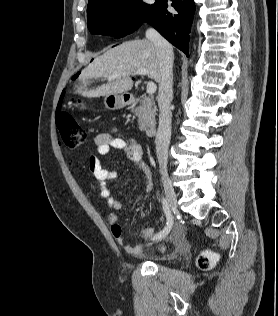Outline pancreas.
<instances>
[{"mask_svg":"<svg viewBox=\"0 0 278 316\" xmlns=\"http://www.w3.org/2000/svg\"><path fill=\"white\" fill-rule=\"evenodd\" d=\"M133 113L138 117V125L141 131L154 127L157 107L150 97L143 98L140 106L132 108Z\"/></svg>","mask_w":278,"mask_h":316,"instance_id":"obj_1","label":"pancreas"}]
</instances>
